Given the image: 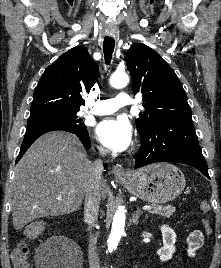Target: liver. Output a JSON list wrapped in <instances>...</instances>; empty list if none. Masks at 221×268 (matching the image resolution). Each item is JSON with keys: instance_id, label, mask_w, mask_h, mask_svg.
<instances>
[{"instance_id": "obj_1", "label": "liver", "mask_w": 221, "mask_h": 268, "mask_svg": "<svg viewBox=\"0 0 221 268\" xmlns=\"http://www.w3.org/2000/svg\"><path fill=\"white\" fill-rule=\"evenodd\" d=\"M91 169L92 163L75 135L53 131L38 138L15 167L14 228L19 230L37 218L78 210L90 185ZM108 192L103 179L102 199Z\"/></svg>"}]
</instances>
